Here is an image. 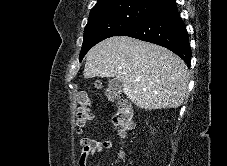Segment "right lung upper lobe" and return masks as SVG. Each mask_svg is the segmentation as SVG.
Wrapping results in <instances>:
<instances>
[{
  "label": "right lung upper lobe",
  "mask_w": 227,
  "mask_h": 166,
  "mask_svg": "<svg viewBox=\"0 0 227 166\" xmlns=\"http://www.w3.org/2000/svg\"><path fill=\"white\" fill-rule=\"evenodd\" d=\"M167 0H98L96 5L92 8L91 11L112 6V5H119L123 3H140V4H146V5H152V6H159L162 3H164Z\"/></svg>",
  "instance_id": "right-lung-upper-lobe-1"
}]
</instances>
